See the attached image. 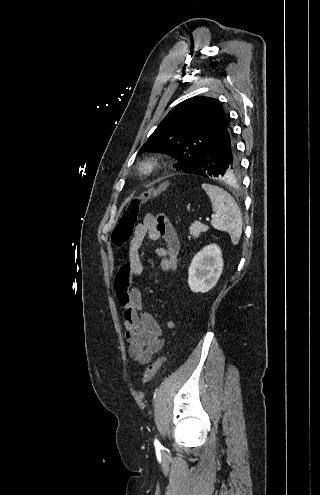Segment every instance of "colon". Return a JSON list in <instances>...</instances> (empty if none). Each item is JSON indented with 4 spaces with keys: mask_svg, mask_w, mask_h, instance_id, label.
Returning a JSON list of instances; mask_svg holds the SVG:
<instances>
[{
    "mask_svg": "<svg viewBox=\"0 0 320 495\" xmlns=\"http://www.w3.org/2000/svg\"><path fill=\"white\" fill-rule=\"evenodd\" d=\"M161 189H151L143 192L138 196L130 199L125 210L122 212L112 234L111 239L115 246L123 247L130 240L133 229L135 227L138 215L143 207L154 195ZM166 359L165 355H161L157 360L151 363L145 370L142 382L148 383L158 372Z\"/></svg>",
    "mask_w": 320,
    "mask_h": 495,
    "instance_id": "1",
    "label": "colon"
}]
</instances>
